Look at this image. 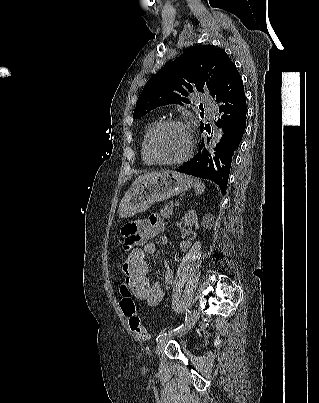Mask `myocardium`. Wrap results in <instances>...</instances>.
Listing matches in <instances>:
<instances>
[{
  "mask_svg": "<svg viewBox=\"0 0 319 403\" xmlns=\"http://www.w3.org/2000/svg\"><path fill=\"white\" fill-rule=\"evenodd\" d=\"M170 125L180 126L186 131V133L188 135V139H189V145H188L187 151L185 152V154L183 156H181V157H179L177 159L165 160V159L159 158L155 154V152H154V141H155V138H156L157 134L164 127L170 126ZM194 147H195V142H194L193 133H192L190 127L184 121H182L180 119H175V118H169V119H165V120L159 122L155 126V128L151 131V133L149 135V138H148V142H147V151H148V154H149L150 158L155 163L163 164V165H176V164H181V163L186 162L193 155Z\"/></svg>",
  "mask_w": 319,
  "mask_h": 403,
  "instance_id": "1",
  "label": "myocardium"
}]
</instances>
